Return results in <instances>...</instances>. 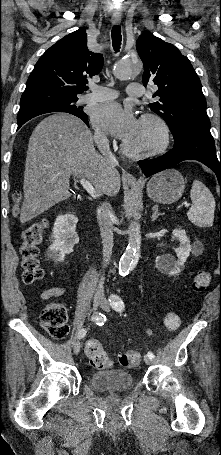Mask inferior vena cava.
<instances>
[{
    "label": "inferior vena cava",
    "instance_id": "602c4592",
    "mask_svg": "<svg viewBox=\"0 0 221 455\" xmlns=\"http://www.w3.org/2000/svg\"><path fill=\"white\" fill-rule=\"evenodd\" d=\"M96 142L100 148V151L106 161L111 166L118 165V161L115 155L111 152L108 140L105 136H97ZM113 209L109 202H104L98 209V221L101 232L102 244H103V264L106 266L112 255L113 248ZM104 284V277L102 276L99 281V287L102 288Z\"/></svg>",
    "mask_w": 221,
    "mask_h": 455
}]
</instances>
